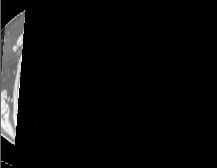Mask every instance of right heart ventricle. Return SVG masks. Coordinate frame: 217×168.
Masks as SVG:
<instances>
[{
	"mask_svg": "<svg viewBox=\"0 0 217 168\" xmlns=\"http://www.w3.org/2000/svg\"><path fill=\"white\" fill-rule=\"evenodd\" d=\"M120 34H121V30H114L112 32V35H114V36H119Z\"/></svg>",
	"mask_w": 217,
	"mask_h": 168,
	"instance_id": "e07e8e85",
	"label": "right heart ventricle"
}]
</instances>
